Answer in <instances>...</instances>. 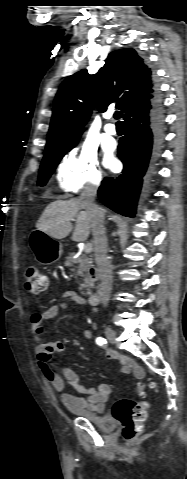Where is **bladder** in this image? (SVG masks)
<instances>
[{"instance_id": "obj_1", "label": "bladder", "mask_w": 187, "mask_h": 479, "mask_svg": "<svg viewBox=\"0 0 187 479\" xmlns=\"http://www.w3.org/2000/svg\"><path fill=\"white\" fill-rule=\"evenodd\" d=\"M79 416L89 420L102 431H111L115 427V422L106 416L95 415L86 411H80Z\"/></svg>"}]
</instances>
